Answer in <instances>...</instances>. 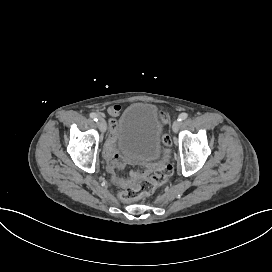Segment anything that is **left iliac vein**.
Masks as SVG:
<instances>
[{
	"label": "left iliac vein",
	"instance_id": "4c4485c4",
	"mask_svg": "<svg viewBox=\"0 0 272 272\" xmlns=\"http://www.w3.org/2000/svg\"><path fill=\"white\" fill-rule=\"evenodd\" d=\"M179 126H180V121H175L174 123H173V126H172V129H173V131L174 132H177L178 131V129H179Z\"/></svg>",
	"mask_w": 272,
	"mask_h": 272
}]
</instances>
